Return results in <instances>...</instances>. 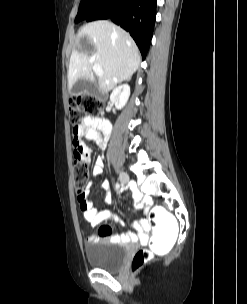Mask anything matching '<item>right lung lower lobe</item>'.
<instances>
[{
  "mask_svg": "<svg viewBox=\"0 0 247 304\" xmlns=\"http://www.w3.org/2000/svg\"><path fill=\"white\" fill-rule=\"evenodd\" d=\"M157 0H104L86 21L111 19L135 40L144 60L152 39Z\"/></svg>",
  "mask_w": 247,
  "mask_h": 304,
  "instance_id": "obj_1",
  "label": "right lung lower lobe"
}]
</instances>
